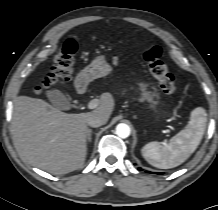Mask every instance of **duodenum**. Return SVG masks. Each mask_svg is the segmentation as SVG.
<instances>
[{"label":"duodenum","instance_id":"obj_1","mask_svg":"<svg viewBox=\"0 0 218 210\" xmlns=\"http://www.w3.org/2000/svg\"><path fill=\"white\" fill-rule=\"evenodd\" d=\"M86 80L83 76H80L77 80H76V87L79 89V90H84L85 87H86Z\"/></svg>","mask_w":218,"mask_h":210}]
</instances>
